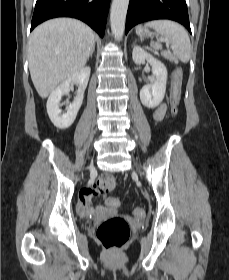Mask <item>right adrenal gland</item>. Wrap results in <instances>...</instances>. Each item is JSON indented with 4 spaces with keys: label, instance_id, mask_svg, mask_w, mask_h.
<instances>
[{
    "label": "right adrenal gland",
    "instance_id": "2a0ac1e0",
    "mask_svg": "<svg viewBox=\"0 0 229 280\" xmlns=\"http://www.w3.org/2000/svg\"><path fill=\"white\" fill-rule=\"evenodd\" d=\"M94 51H95V43H94V45H93V47H92V49H91V51H90V54H89L88 59H89L90 57H92Z\"/></svg>",
    "mask_w": 229,
    "mask_h": 280
}]
</instances>
